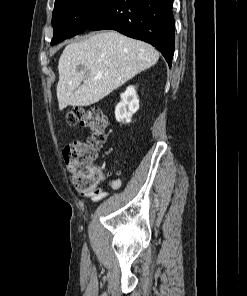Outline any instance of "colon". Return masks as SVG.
<instances>
[{"label": "colon", "mask_w": 247, "mask_h": 296, "mask_svg": "<svg viewBox=\"0 0 247 296\" xmlns=\"http://www.w3.org/2000/svg\"><path fill=\"white\" fill-rule=\"evenodd\" d=\"M67 122L72 127L80 125L90 130L87 139L68 144L63 155L74 186L81 191L92 190L103 180V171L95 161L107 139L106 117L97 108L76 107L68 113Z\"/></svg>", "instance_id": "obj_1"}]
</instances>
